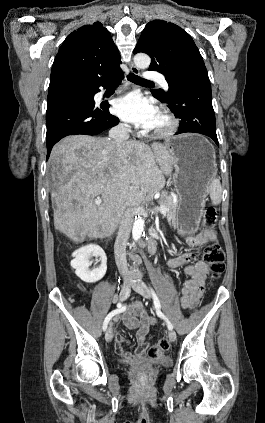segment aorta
<instances>
[{"label":"aorta","instance_id":"762f6f07","mask_svg":"<svg viewBox=\"0 0 265 423\" xmlns=\"http://www.w3.org/2000/svg\"><path fill=\"white\" fill-rule=\"evenodd\" d=\"M150 62L151 59L147 54L138 53L134 56V63L138 68L146 69L149 67ZM144 223V219L140 216L135 219L132 228V238L134 241H138L141 238L144 231Z\"/></svg>","mask_w":265,"mask_h":423}]
</instances>
